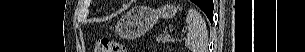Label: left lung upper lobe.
Here are the masks:
<instances>
[{"mask_svg":"<svg viewBox=\"0 0 305 52\" xmlns=\"http://www.w3.org/2000/svg\"><path fill=\"white\" fill-rule=\"evenodd\" d=\"M205 1L206 0H192L196 5H198L200 8H205Z\"/></svg>","mask_w":305,"mask_h":52,"instance_id":"5c2ea615","label":"left lung upper lobe"}]
</instances>
